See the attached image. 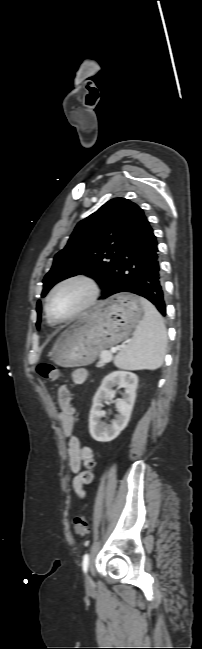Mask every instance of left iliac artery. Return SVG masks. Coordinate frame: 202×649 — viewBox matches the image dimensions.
<instances>
[{"instance_id": "left-iliac-artery-1", "label": "left iliac artery", "mask_w": 202, "mask_h": 649, "mask_svg": "<svg viewBox=\"0 0 202 649\" xmlns=\"http://www.w3.org/2000/svg\"><path fill=\"white\" fill-rule=\"evenodd\" d=\"M88 565H89V555H88V554H85V555L83 556V561H82V568H83L84 573L87 572V570H88Z\"/></svg>"}]
</instances>
